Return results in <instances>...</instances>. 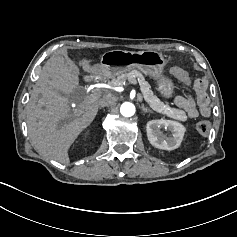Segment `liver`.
<instances>
[{"label":"liver","instance_id":"6515ba94","mask_svg":"<svg viewBox=\"0 0 237 237\" xmlns=\"http://www.w3.org/2000/svg\"><path fill=\"white\" fill-rule=\"evenodd\" d=\"M83 70L100 74L90 61H80ZM79 68L67 51L53 55L46 63L27 104L28 133L37 152L62 164H69L68 149L78 135L94 120L101 99L86 97L77 108L71 109L70 95L79 84ZM64 94L65 96H63ZM80 98H77L78 102ZM62 121H67L61 123Z\"/></svg>","mask_w":237,"mask_h":237}]
</instances>
